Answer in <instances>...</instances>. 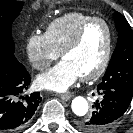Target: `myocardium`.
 Listing matches in <instances>:
<instances>
[{"mask_svg":"<svg viewBox=\"0 0 133 133\" xmlns=\"http://www.w3.org/2000/svg\"><path fill=\"white\" fill-rule=\"evenodd\" d=\"M94 23H100L105 27L107 32V43H106L105 53L102 58V61L94 71L86 75L80 76L81 80L83 81H91V80L97 79L99 76H101L104 73V71L109 65L111 54H112V47H113V31L110 24L106 20L100 17L90 18L80 26V28L71 38V40L61 50V56L64 58V56L68 52L72 51L79 45L86 30Z\"/></svg>","mask_w":133,"mask_h":133,"instance_id":"1","label":"myocardium"}]
</instances>
